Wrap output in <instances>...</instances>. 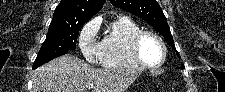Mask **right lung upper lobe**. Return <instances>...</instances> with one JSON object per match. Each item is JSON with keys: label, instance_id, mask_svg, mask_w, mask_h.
Masks as SVG:
<instances>
[{"label": "right lung upper lobe", "instance_id": "cb5924a9", "mask_svg": "<svg viewBox=\"0 0 225 92\" xmlns=\"http://www.w3.org/2000/svg\"><path fill=\"white\" fill-rule=\"evenodd\" d=\"M106 0H61L56 7L50 26H64L74 21H88Z\"/></svg>", "mask_w": 225, "mask_h": 92}]
</instances>
